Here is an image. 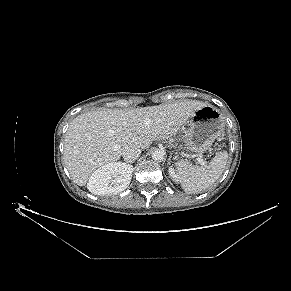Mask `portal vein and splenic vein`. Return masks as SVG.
Segmentation results:
<instances>
[{
  "mask_svg": "<svg viewBox=\"0 0 291 291\" xmlns=\"http://www.w3.org/2000/svg\"><path fill=\"white\" fill-rule=\"evenodd\" d=\"M196 161H197L200 165H202V166H205V165H206L205 161H204L201 157H197V158H196Z\"/></svg>",
  "mask_w": 291,
  "mask_h": 291,
  "instance_id": "18ae733b",
  "label": "portal vein and splenic vein"
}]
</instances>
